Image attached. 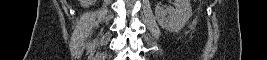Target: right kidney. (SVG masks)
Masks as SVG:
<instances>
[{"label":"right kidney","instance_id":"obj_1","mask_svg":"<svg viewBox=\"0 0 267 60\" xmlns=\"http://www.w3.org/2000/svg\"><path fill=\"white\" fill-rule=\"evenodd\" d=\"M79 1H80L81 6L83 7H89L95 2V0H79Z\"/></svg>","mask_w":267,"mask_h":60}]
</instances>
